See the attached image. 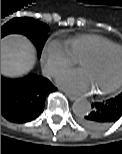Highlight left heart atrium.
<instances>
[{
	"instance_id": "left-heart-atrium-1",
	"label": "left heart atrium",
	"mask_w": 122,
	"mask_h": 154,
	"mask_svg": "<svg viewBox=\"0 0 122 154\" xmlns=\"http://www.w3.org/2000/svg\"><path fill=\"white\" fill-rule=\"evenodd\" d=\"M56 81L65 90L75 94H87L91 91L88 81L81 70H69L60 73Z\"/></svg>"
}]
</instances>
